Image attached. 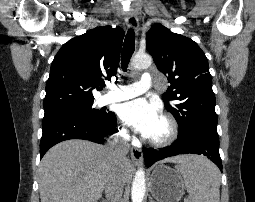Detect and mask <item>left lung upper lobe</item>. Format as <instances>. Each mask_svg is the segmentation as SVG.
Segmentation results:
<instances>
[{
    "label": "left lung upper lobe",
    "mask_w": 255,
    "mask_h": 202,
    "mask_svg": "<svg viewBox=\"0 0 255 202\" xmlns=\"http://www.w3.org/2000/svg\"><path fill=\"white\" fill-rule=\"evenodd\" d=\"M146 49L170 83L162 98L178 122V137L217 134L212 79L200 47L192 39L155 24L146 35Z\"/></svg>",
    "instance_id": "left-lung-upper-lobe-1"
}]
</instances>
